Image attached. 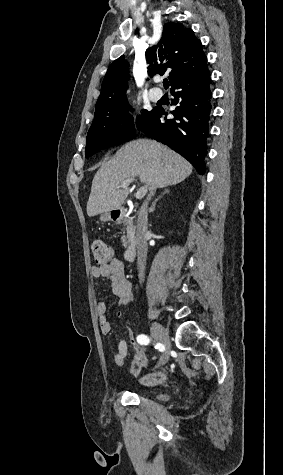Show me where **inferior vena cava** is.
<instances>
[{
	"label": "inferior vena cava",
	"mask_w": 283,
	"mask_h": 475,
	"mask_svg": "<svg viewBox=\"0 0 283 475\" xmlns=\"http://www.w3.org/2000/svg\"><path fill=\"white\" fill-rule=\"evenodd\" d=\"M154 192L151 190L149 194V198H147L146 202H144L142 208H140L138 220H137V236H136V247H137V269H138V277L140 279V283L144 281L145 277V265L147 259V220H148V200H150V196H153Z\"/></svg>",
	"instance_id": "1"
}]
</instances>
